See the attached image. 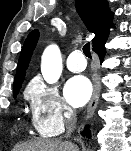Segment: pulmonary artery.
I'll list each match as a JSON object with an SVG mask.
<instances>
[{"instance_id": "1", "label": "pulmonary artery", "mask_w": 131, "mask_h": 151, "mask_svg": "<svg viewBox=\"0 0 131 151\" xmlns=\"http://www.w3.org/2000/svg\"><path fill=\"white\" fill-rule=\"evenodd\" d=\"M66 66L71 72H81L86 68V60L80 50H74L67 58Z\"/></svg>"}]
</instances>
